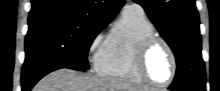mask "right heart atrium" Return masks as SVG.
<instances>
[{"label":"right heart atrium","instance_id":"1","mask_svg":"<svg viewBox=\"0 0 220 91\" xmlns=\"http://www.w3.org/2000/svg\"><path fill=\"white\" fill-rule=\"evenodd\" d=\"M102 36H103L102 32H99L92 38L88 47L89 51H93L95 48H97V46L101 42Z\"/></svg>","mask_w":220,"mask_h":91}]
</instances>
